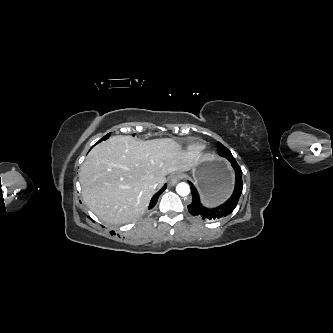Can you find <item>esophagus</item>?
Masks as SVG:
<instances>
[{
	"label": "esophagus",
	"mask_w": 333,
	"mask_h": 333,
	"mask_svg": "<svg viewBox=\"0 0 333 333\" xmlns=\"http://www.w3.org/2000/svg\"><path fill=\"white\" fill-rule=\"evenodd\" d=\"M181 175L179 173H175V174H172L170 177H169V180H168V184L170 186H173L175 185L176 183H178L180 180H181Z\"/></svg>",
	"instance_id": "esophagus-1"
}]
</instances>
